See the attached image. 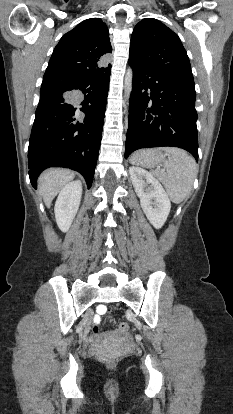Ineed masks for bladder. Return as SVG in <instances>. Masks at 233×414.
I'll use <instances>...</instances> for the list:
<instances>
[{"instance_id":"obj_1","label":"bladder","mask_w":233,"mask_h":414,"mask_svg":"<svg viewBox=\"0 0 233 414\" xmlns=\"http://www.w3.org/2000/svg\"><path fill=\"white\" fill-rule=\"evenodd\" d=\"M119 339H120V337H118L114 333H106V334H104L100 337L101 342L104 343V344L105 343H110V342H113V341H116V340H119Z\"/></svg>"}]
</instances>
